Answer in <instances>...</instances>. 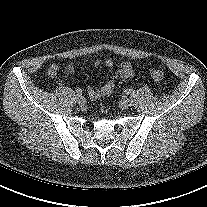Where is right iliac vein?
<instances>
[{"label": "right iliac vein", "mask_w": 207, "mask_h": 207, "mask_svg": "<svg viewBox=\"0 0 207 207\" xmlns=\"http://www.w3.org/2000/svg\"><path fill=\"white\" fill-rule=\"evenodd\" d=\"M76 101H77L80 105H82V104L85 103V98H84V96H82L81 94H79V95L76 96Z\"/></svg>", "instance_id": "63e3f726"}]
</instances>
